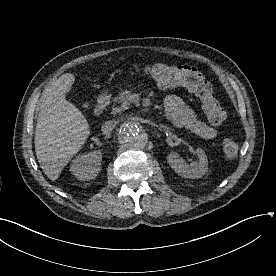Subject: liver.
<instances>
[{
    "label": "liver",
    "instance_id": "liver-1",
    "mask_svg": "<svg viewBox=\"0 0 276 276\" xmlns=\"http://www.w3.org/2000/svg\"><path fill=\"white\" fill-rule=\"evenodd\" d=\"M75 81L72 73L55 80L42 94L35 129V151L44 174L56 181L90 135L82 112L66 100Z\"/></svg>",
    "mask_w": 276,
    "mask_h": 276
}]
</instances>
